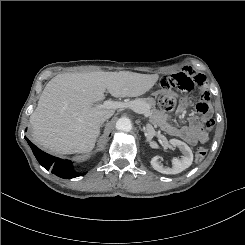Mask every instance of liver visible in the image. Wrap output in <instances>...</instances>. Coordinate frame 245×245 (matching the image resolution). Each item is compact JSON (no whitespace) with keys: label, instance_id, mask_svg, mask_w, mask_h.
I'll return each instance as SVG.
<instances>
[{"label":"liver","instance_id":"1","mask_svg":"<svg viewBox=\"0 0 245 245\" xmlns=\"http://www.w3.org/2000/svg\"><path fill=\"white\" fill-rule=\"evenodd\" d=\"M158 74L129 71L65 73L45 86L30 116L34 141L59 154L88 153L100 134L102 118L115 109L95 105L107 90L113 97H138L157 82Z\"/></svg>","mask_w":245,"mask_h":245}]
</instances>
